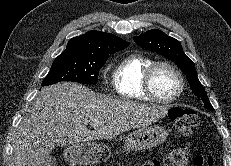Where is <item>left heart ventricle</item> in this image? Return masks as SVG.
<instances>
[{"mask_svg":"<svg viewBox=\"0 0 231 166\" xmlns=\"http://www.w3.org/2000/svg\"><path fill=\"white\" fill-rule=\"evenodd\" d=\"M155 93L163 98H171L178 90L179 82L175 73L168 67H158L152 79Z\"/></svg>","mask_w":231,"mask_h":166,"instance_id":"obj_1","label":"left heart ventricle"}]
</instances>
